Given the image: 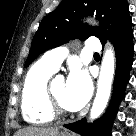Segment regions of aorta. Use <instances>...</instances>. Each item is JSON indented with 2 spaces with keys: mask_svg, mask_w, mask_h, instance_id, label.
<instances>
[{
  "mask_svg": "<svg viewBox=\"0 0 136 136\" xmlns=\"http://www.w3.org/2000/svg\"><path fill=\"white\" fill-rule=\"evenodd\" d=\"M115 70V56L112 48L106 49L100 69L96 96L90 111V118H98L105 110L111 93Z\"/></svg>",
  "mask_w": 136,
  "mask_h": 136,
  "instance_id": "1",
  "label": "aorta"
}]
</instances>
